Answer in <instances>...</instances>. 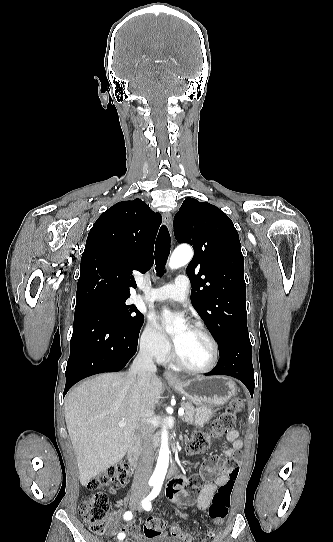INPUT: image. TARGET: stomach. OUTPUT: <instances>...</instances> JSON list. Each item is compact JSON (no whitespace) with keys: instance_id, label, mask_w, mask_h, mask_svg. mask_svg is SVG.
I'll return each instance as SVG.
<instances>
[{"instance_id":"obj_1","label":"stomach","mask_w":333,"mask_h":542,"mask_svg":"<svg viewBox=\"0 0 333 542\" xmlns=\"http://www.w3.org/2000/svg\"><path fill=\"white\" fill-rule=\"evenodd\" d=\"M181 396H185L190 404H196L195 426H204L214 416L213 408L224 406L229 400L237 396L238 388L225 376H209V378H192L175 384H169Z\"/></svg>"}]
</instances>
